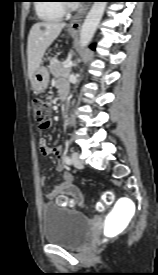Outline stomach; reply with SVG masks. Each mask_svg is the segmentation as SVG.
I'll return each mask as SVG.
<instances>
[{"instance_id": "0dacf381", "label": "stomach", "mask_w": 158, "mask_h": 275, "mask_svg": "<svg viewBox=\"0 0 158 275\" xmlns=\"http://www.w3.org/2000/svg\"><path fill=\"white\" fill-rule=\"evenodd\" d=\"M68 32L72 37L76 35L75 31L69 30ZM48 83H49L48 69L44 66H39L31 79V85H32L33 91L35 93L44 92L48 86Z\"/></svg>"}]
</instances>
